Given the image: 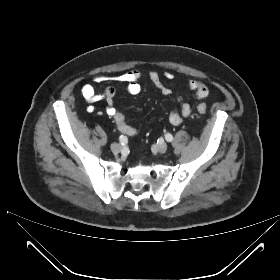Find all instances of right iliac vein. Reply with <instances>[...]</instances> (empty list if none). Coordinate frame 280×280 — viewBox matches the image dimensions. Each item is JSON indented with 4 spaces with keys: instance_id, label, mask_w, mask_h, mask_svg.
Instances as JSON below:
<instances>
[{
    "instance_id": "1",
    "label": "right iliac vein",
    "mask_w": 280,
    "mask_h": 280,
    "mask_svg": "<svg viewBox=\"0 0 280 280\" xmlns=\"http://www.w3.org/2000/svg\"><path fill=\"white\" fill-rule=\"evenodd\" d=\"M110 148H111L112 152L118 153L121 150V145L118 143H113V144H111Z\"/></svg>"
}]
</instances>
